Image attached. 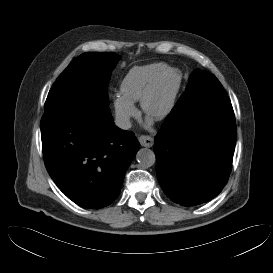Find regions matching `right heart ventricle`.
<instances>
[{"label":"right heart ventricle","instance_id":"1","mask_svg":"<svg viewBox=\"0 0 273 273\" xmlns=\"http://www.w3.org/2000/svg\"><path fill=\"white\" fill-rule=\"evenodd\" d=\"M165 68L163 63H149L130 70L121 84L122 97L132 103L140 100L146 87Z\"/></svg>","mask_w":273,"mask_h":273}]
</instances>
